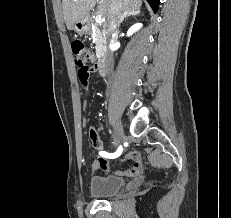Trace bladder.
<instances>
[{
	"mask_svg": "<svg viewBox=\"0 0 231 218\" xmlns=\"http://www.w3.org/2000/svg\"><path fill=\"white\" fill-rule=\"evenodd\" d=\"M125 185L117 176H95L90 182V194L95 198H107L116 195Z\"/></svg>",
	"mask_w": 231,
	"mask_h": 218,
	"instance_id": "31cf9c89",
	"label": "bladder"
}]
</instances>
